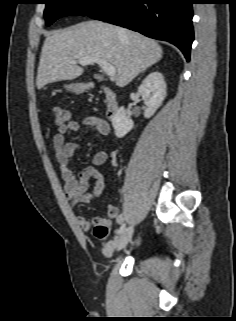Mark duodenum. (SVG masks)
Segmentation results:
<instances>
[{"label":"duodenum","instance_id":"duodenum-1","mask_svg":"<svg viewBox=\"0 0 236 321\" xmlns=\"http://www.w3.org/2000/svg\"><path fill=\"white\" fill-rule=\"evenodd\" d=\"M100 88L104 93L106 114L108 118L113 119L119 111L117 95L113 89L106 85H101Z\"/></svg>","mask_w":236,"mask_h":321}]
</instances>
